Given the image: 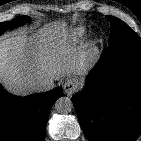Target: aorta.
Returning a JSON list of instances; mask_svg holds the SVG:
<instances>
[{
	"label": "aorta",
	"instance_id": "aorta-1",
	"mask_svg": "<svg viewBox=\"0 0 141 141\" xmlns=\"http://www.w3.org/2000/svg\"><path fill=\"white\" fill-rule=\"evenodd\" d=\"M55 109L59 113H69L73 109V102L69 97H60L55 103Z\"/></svg>",
	"mask_w": 141,
	"mask_h": 141
}]
</instances>
